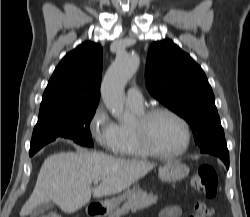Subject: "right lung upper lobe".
Listing matches in <instances>:
<instances>
[{"label":"right lung upper lobe","mask_w":250,"mask_h":217,"mask_svg":"<svg viewBox=\"0 0 250 217\" xmlns=\"http://www.w3.org/2000/svg\"><path fill=\"white\" fill-rule=\"evenodd\" d=\"M102 53L99 44L85 42L66 54L48 82L39 115L69 108L97 106Z\"/></svg>","instance_id":"cb5924a9"}]
</instances>
